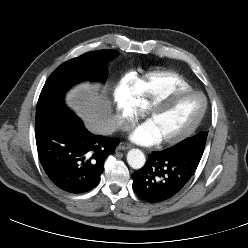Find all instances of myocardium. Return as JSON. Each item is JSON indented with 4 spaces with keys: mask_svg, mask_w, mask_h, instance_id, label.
I'll use <instances>...</instances> for the list:
<instances>
[{
    "mask_svg": "<svg viewBox=\"0 0 248 248\" xmlns=\"http://www.w3.org/2000/svg\"><path fill=\"white\" fill-rule=\"evenodd\" d=\"M187 95H198V96H200L202 98L203 107H202L201 113L199 114L197 119L187 129H185L183 132L179 133L176 136L166 138V139H162L160 141V143L162 145H175V144H178V143L184 141L185 139H187L188 137H190L197 130V128L200 126L201 122L203 121V119H204V117L206 115L207 109H208L207 97L205 96L204 93H202L201 91H198V90H194V89H178V90L170 91L169 93L157 98L156 100H154L148 106V108L146 110V114H145L147 119L150 116H152L153 114H155L157 111L162 110L169 103L175 101L178 98H181V97H184V96H187Z\"/></svg>",
    "mask_w": 248,
    "mask_h": 248,
    "instance_id": "obj_1",
    "label": "myocardium"
}]
</instances>
